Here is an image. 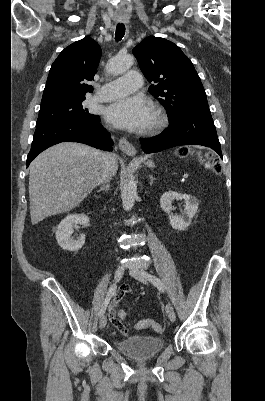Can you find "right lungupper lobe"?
Instances as JSON below:
<instances>
[{
  "label": "right lung upper lobe",
  "mask_w": 265,
  "mask_h": 401,
  "mask_svg": "<svg viewBox=\"0 0 265 401\" xmlns=\"http://www.w3.org/2000/svg\"><path fill=\"white\" fill-rule=\"evenodd\" d=\"M100 57V46L90 36L66 47L50 68L41 104L92 92L85 82L93 80Z\"/></svg>",
  "instance_id": "obj_1"
}]
</instances>
